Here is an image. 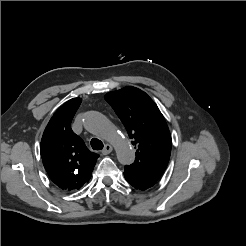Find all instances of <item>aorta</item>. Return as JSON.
<instances>
[{
  "label": "aorta",
  "mask_w": 246,
  "mask_h": 246,
  "mask_svg": "<svg viewBox=\"0 0 246 246\" xmlns=\"http://www.w3.org/2000/svg\"><path fill=\"white\" fill-rule=\"evenodd\" d=\"M84 127L113 145L118 161L123 165L133 163L135 153L123 134L101 113L89 111L84 116Z\"/></svg>",
  "instance_id": "1"
}]
</instances>
